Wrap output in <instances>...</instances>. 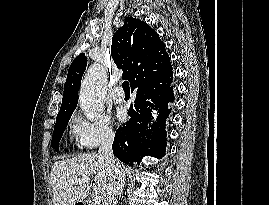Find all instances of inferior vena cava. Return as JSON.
<instances>
[{"mask_svg":"<svg viewBox=\"0 0 269 205\" xmlns=\"http://www.w3.org/2000/svg\"><path fill=\"white\" fill-rule=\"evenodd\" d=\"M113 141L114 133L111 130H106L99 148V155L106 161L112 177L108 185L105 205H116L117 197L122 194L125 185V172L113 154Z\"/></svg>","mask_w":269,"mask_h":205,"instance_id":"inferior-vena-cava-1","label":"inferior vena cava"}]
</instances>
